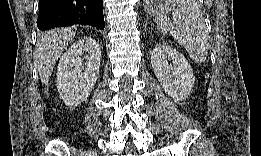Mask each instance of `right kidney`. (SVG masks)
Masks as SVG:
<instances>
[{
    "mask_svg": "<svg viewBox=\"0 0 261 156\" xmlns=\"http://www.w3.org/2000/svg\"><path fill=\"white\" fill-rule=\"evenodd\" d=\"M100 58V46L91 37L74 42L63 54L57 69V89L66 105L75 107L87 99L99 75Z\"/></svg>",
    "mask_w": 261,
    "mask_h": 156,
    "instance_id": "obj_1",
    "label": "right kidney"
}]
</instances>
